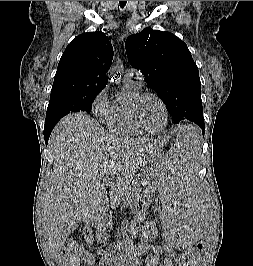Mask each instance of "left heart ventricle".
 Returning a JSON list of instances; mask_svg holds the SVG:
<instances>
[{
    "label": "left heart ventricle",
    "mask_w": 253,
    "mask_h": 266,
    "mask_svg": "<svg viewBox=\"0 0 253 266\" xmlns=\"http://www.w3.org/2000/svg\"><path fill=\"white\" fill-rule=\"evenodd\" d=\"M138 115L142 126L148 130L156 131L164 125L163 109L153 97H146L141 101Z\"/></svg>",
    "instance_id": "b2bd125f"
}]
</instances>
